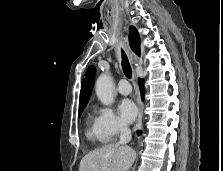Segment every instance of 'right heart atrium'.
Wrapping results in <instances>:
<instances>
[{
    "mask_svg": "<svg viewBox=\"0 0 223 171\" xmlns=\"http://www.w3.org/2000/svg\"><path fill=\"white\" fill-rule=\"evenodd\" d=\"M96 118L98 130L106 141L114 140L128 129L126 124L110 107H99Z\"/></svg>",
    "mask_w": 223,
    "mask_h": 171,
    "instance_id": "right-heart-atrium-1",
    "label": "right heart atrium"
}]
</instances>
